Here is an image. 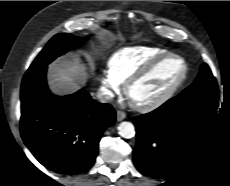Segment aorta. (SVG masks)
Instances as JSON below:
<instances>
[{
    "mask_svg": "<svg viewBox=\"0 0 230 186\" xmlns=\"http://www.w3.org/2000/svg\"><path fill=\"white\" fill-rule=\"evenodd\" d=\"M118 133L123 138H132L135 135V127L131 122L124 121L118 126Z\"/></svg>",
    "mask_w": 230,
    "mask_h": 186,
    "instance_id": "1",
    "label": "aorta"
}]
</instances>
